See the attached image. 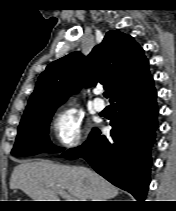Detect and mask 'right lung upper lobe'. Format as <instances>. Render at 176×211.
Here are the masks:
<instances>
[{
  "mask_svg": "<svg viewBox=\"0 0 176 211\" xmlns=\"http://www.w3.org/2000/svg\"><path fill=\"white\" fill-rule=\"evenodd\" d=\"M151 81L143 49L131 36L109 31L87 57L74 52L49 64L39 76L22 118L58 107L83 86L102 84L113 104L137 94Z\"/></svg>",
  "mask_w": 176,
  "mask_h": 211,
  "instance_id": "obj_1",
  "label": "right lung upper lobe"
}]
</instances>
